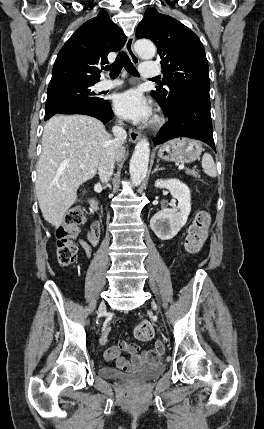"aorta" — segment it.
I'll use <instances>...</instances> for the list:
<instances>
[{
    "instance_id": "obj_1",
    "label": "aorta",
    "mask_w": 264,
    "mask_h": 429,
    "mask_svg": "<svg viewBox=\"0 0 264 429\" xmlns=\"http://www.w3.org/2000/svg\"><path fill=\"white\" fill-rule=\"evenodd\" d=\"M135 50L143 59H152L156 54L155 45L146 39L135 42ZM150 148L146 138H142L135 146L130 160L129 172L132 183L138 186L144 180L149 164Z\"/></svg>"
}]
</instances>
